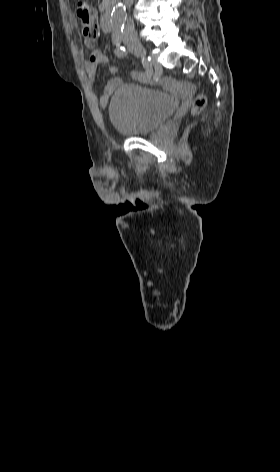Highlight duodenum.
Masks as SVG:
<instances>
[{"mask_svg":"<svg viewBox=\"0 0 280 472\" xmlns=\"http://www.w3.org/2000/svg\"><path fill=\"white\" fill-rule=\"evenodd\" d=\"M111 9V5H107L103 12L101 27L105 33H108L112 30Z\"/></svg>","mask_w":280,"mask_h":472,"instance_id":"410a0bca","label":"duodenum"}]
</instances>
